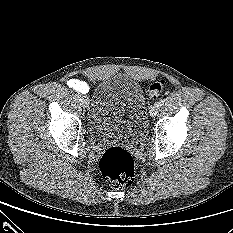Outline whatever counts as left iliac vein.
Returning <instances> with one entry per match:
<instances>
[{
	"mask_svg": "<svg viewBox=\"0 0 233 233\" xmlns=\"http://www.w3.org/2000/svg\"><path fill=\"white\" fill-rule=\"evenodd\" d=\"M160 105L157 103H154L153 105H151L150 109H149V113L150 116H155L159 110Z\"/></svg>",
	"mask_w": 233,
	"mask_h": 233,
	"instance_id": "4c4485c4",
	"label": "left iliac vein"
}]
</instances>
